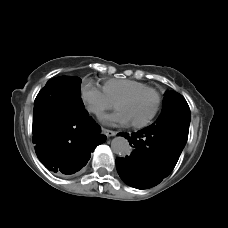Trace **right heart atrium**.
I'll return each instance as SVG.
<instances>
[{"mask_svg": "<svg viewBox=\"0 0 228 228\" xmlns=\"http://www.w3.org/2000/svg\"><path fill=\"white\" fill-rule=\"evenodd\" d=\"M82 95L88 109L96 115H101L104 111L114 107V104L102 91L92 86H85Z\"/></svg>", "mask_w": 228, "mask_h": 228, "instance_id": "1", "label": "right heart atrium"}]
</instances>
